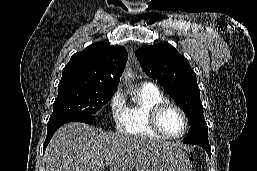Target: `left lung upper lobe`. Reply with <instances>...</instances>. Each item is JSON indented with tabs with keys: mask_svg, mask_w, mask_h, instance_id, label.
Here are the masks:
<instances>
[{
	"mask_svg": "<svg viewBox=\"0 0 257 171\" xmlns=\"http://www.w3.org/2000/svg\"><path fill=\"white\" fill-rule=\"evenodd\" d=\"M136 56L143 71L157 80L187 115L190 128L183 142H208L200 90L188 60L167 43L143 46L136 51Z\"/></svg>",
	"mask_w": 257,
	"mask_h": 171,
	"instance_id": "obj_1",
	"label": "left lung upper lobe"
}]
</instances>
